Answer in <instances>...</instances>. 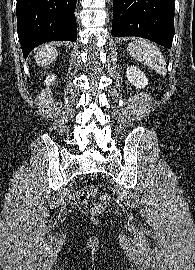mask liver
Segmentation results:
<instances>
[{"instance_id":"obj_1","label":"liver","mask_w":195,"mask_h":270,"mask_svg":"<svg viewBox=\"0 0 195 270\" xmlns=\"http://www.w3.org/2000/svg\"><path fill=\"white\" fill-rule=\"evenodd\" d=\"M58 55L57 50L51 45L41 46L35 55V61L42 67L52 63Z\"/></svg>"}]
</instances>
